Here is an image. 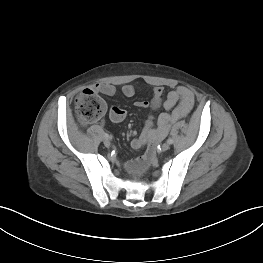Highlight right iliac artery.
Returning a JSON list of instances; mask_svg holds the SVG:
<instances>
[{
  "label": "right iliac artery",
  "instance_id": "obj_1",
  "mask_svg": "<svg viewBox=\"0 0 263 263\" xmlns=\"http://www.w3.org/2000/svg\"><path fill=\"white\" fill-rule=\"evenodd\" d=\"M104 137H105L106 139H111V136H110L109 134H107V133H104Z\"/></svg>",
  "mask_w": 263,
  "mask_h": 263
}]
</instances>
